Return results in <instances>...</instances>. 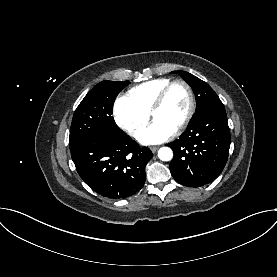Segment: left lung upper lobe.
Here are the masks:
<instances>
[{"instance_id": "5c2ea615", "label": "left lung upper lobe", "mask_w": 277, "mask_h": 277, "mask_svg": "<svg viewBox=\"0 0 277 277\" xmlns=\"http://www.w3.org/2000/svg\"><path fill=\"white\" fill-rule=\"evenodd\" d=\"M172 73H178L193 89L196 97L195 117L207 110L212 105L222 103L213 89L198 77L180 70L173 71Z\"/></svg>"}]
</instances>
